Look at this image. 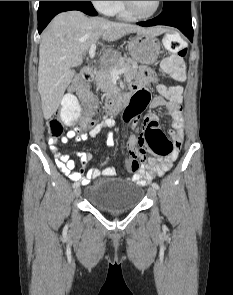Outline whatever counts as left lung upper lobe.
I'll use <instances>...</instances> for the list:
<instances>
[{
	"label": "left lung upper lobe",
	"instance_id": "left-lung-upper-lobe-1",
	"mask_svg": "<svg viewBox=\"0 0 233 295\" xmlns=\"http://www.w3.org/2000/svg\"><path fill=\"white\" fill-rule=\"evenodd\" d=\"M174 1H163V7L168 6L169 4H171Z\"/></svg>",
	"mask_w": 233,
	"mask_h": 295
}]
</instances>
